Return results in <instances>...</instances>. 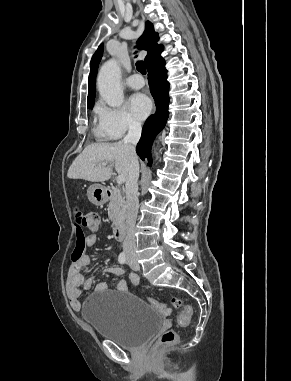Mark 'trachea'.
<instances>
[{
	"instance_id": "1",
	"label": "trachea",
	"mask_w": 291,
	"mask_h": 381,
	"mask_svg": "<svg viewBox=\"0 0 291 381\" xmlns=\"http://www.w3.org/2000/svg\"><path fill=\"white\" fill-rule=\"evenodd\" d=\"M136 68L141 74H146V65L144 61H137Z\"/></svg>"
}]
</instances>
